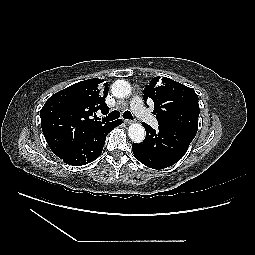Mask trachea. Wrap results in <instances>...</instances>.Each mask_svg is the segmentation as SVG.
<instances>
[{
	"instance_id": "3493384b",
	"label": "trachea",
	"mask_w": 255,
	"mask_h": 255,
	"mask_svg": "<svg viewBox=\"0 0 255 255\" xmlns=\"http://www.w3.org/2000/svg\"><path fill=\"white\" fill-rule=\"evenodd\" d=\"M119 117H120L119 111L115 110V111L111 112L108 116H106L103 120L106 121V122H109V121L116 120ZM123 118L128 119V120H132L133 116L129 111H125L123 113Z\"/></svg>"
}]
</instances>
